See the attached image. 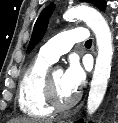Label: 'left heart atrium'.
<instances>
[{
  "instance_id": "obj_1",
  "label": "left heart atrium",
  "mask_w": 118,
  "mask_h": 123,
  "mask_svg": "<svg viewBox=\"0 0 118 123\" xmlns=\"http://www.w3.org/2000/svg\"><path fill=\"white\" fill-rule=\"evenodd\" d=\"M86 78V73L78 59L70 58L68 67L63 73V79L66 86L73 92L79 90Z\"/></svg>"
}]
</instances>
